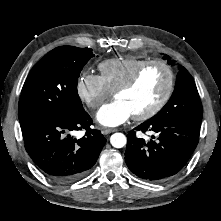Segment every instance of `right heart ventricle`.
Here are the masks:
<instances>
[{"label":"right heart ventricle","mask_w":221,"mask_h":221,"mask_svg":"<svg viewBox=\"0 0 221 221\" xmlns=\"http://www.w3.org/2000/svg\"><path fill=\"white\" fill-rule=\"evenodd\" d=\"M146 61V59L132 56L105 60L98 65L100 77L105 86L114 92Z\"/></svg>","instance_id":"e07e8e85"}]
</instances>
